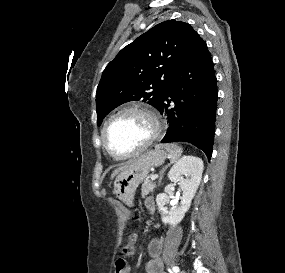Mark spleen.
<instances>
[{
    "mask_svg": "<svg viewBox=\"0 0 285 273\" xmlns=\"http://www.w3.org/2000/svg\"><path fill=\"white\" fill-rule=\"evenodd\" d=\"M160 147H164L167 150L172 163L176 162L182 154V148L176 144H164Z\"/></svg>",
    "mask_w": 285,
    "mask_h": 273,
    "instance_id": "1",
    "label": "spleen"
}]
</instances>
